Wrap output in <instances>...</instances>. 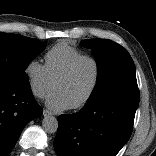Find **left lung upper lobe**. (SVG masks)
Segmentation results:
<instances>
[{
  "mask_svg": "<svg viewBox=\"0 0 156 156\" xmlns=\"http://www.w3.org/2000/svg\"><path fill=\"white\" fill-rule=\"evenodd\" d=\"M81 44L92 50L97 62V83L86 104L112 96L139 100L135 65L128 51L106 39H88Z\"/></svg>",
  "mask_w": 156,
  "mask_h": 156,
  "instance_id": "5c2ea615",
  "label": "left lung upper lobe"
}]
</instances>
